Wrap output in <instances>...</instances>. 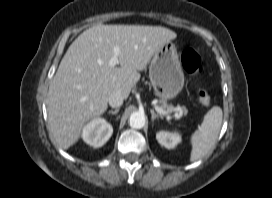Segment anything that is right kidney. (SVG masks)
<instances>
[{"mask_svg": "<svg viewBox=\"0 0 272 198\" xmlns=\"http://www.w3.org/2000/svg\"><path fill=\"white\" fill-rule=\"evenodd\" d=\"M113 128L103 118H95L88 123L82 132L85 143L95 148L103 146L112 136Z\"/></svg>", "mask_w": 272, "mask_h": 198, "instance_id": "obj_1", "label": "right kidney"}]
</instances>
